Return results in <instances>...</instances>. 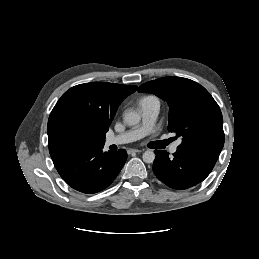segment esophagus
Here are the masks:
<instances>
[{
    "label": "esophagus",
    "instance_id": "1",
    "mask_svg": "<svg viewBox=\"0 0 259 259\" xmlns=\"http://www.w3.org/2000/svg\"><path fill=\"white\" fill-rule=\"evenodd\" d=\"M140 152H142V150H140V149H129L128 150V154L140 153Z\"/></svg>",
    "mask_w": 259,
    "mask_h": 259
}]
</instances>
